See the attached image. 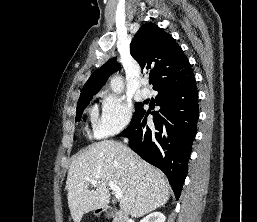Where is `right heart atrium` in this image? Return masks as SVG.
I'll list each match as a JSON object with an SVG mask.
<instances>
[{"label":"right heart atrium","instance_id":"right-heart-atrium-1","mask_svg":"<svg viewBox=\"0 0 257 222\" xmlns=\"http://www.w3.org/2000/svg\"><path fill=\"white\" fill-rule=\"evenodd\" d=\"M104 107L117 109L122 115V123L117 127H108L101 120L94 123V135L96 137H109L122 131L131 121L132 106L119 97L108 96L104 99Z\"/></svg>","mask_w":257,"mask_h":222}]
</instances>
